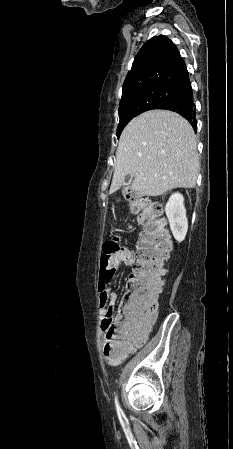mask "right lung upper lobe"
Wrapping results in <instances>:
<instances>
[{"label":"right lung upper lobe","instance_id":"right-lung-upper-lobe-1","mask_svg":"<svg viewBox=\"0 0 233 449\" xmlns=\"http://www.w3.org/2000/svg\"><path fill=\"white\" fill-rule=\"evenodd\" d=\"M186 65L175 44L160 35L148 40L135 57L125 78L122 96L154 87L181 88L189 83Z\"/></svg>","mask_w":233,"mask_h":449}]
</instances>
